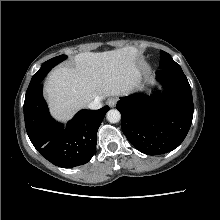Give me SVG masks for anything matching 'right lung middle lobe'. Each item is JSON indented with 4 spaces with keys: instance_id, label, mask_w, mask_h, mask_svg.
Masks as SVG:
<instances>
[{
    "instance_id": "right-lung-middle-lobe-1",
    "label": "right lung middle lobe",
    "mask_w": 220,
    "mask_h": 220,
    "mask_svg": "<svg viewBox=\"0 0 220 220\" xmlns=\"http://www.w3.org/2000/svg\"><path fill=\"white\" fill-rule=\"evenodd\" d=\"M67 58L66 55H60L57 57H54L46 62H44L40 68V70L34 74V76L31 79V82L29 84V87L27 89V92L32 91L42 80L43 78L46 76V74L58 63L62 62L63 60H65ZM43 72H46V74H44ZM26 92V93H27Z\"/></svg>"
}]
</instances>
